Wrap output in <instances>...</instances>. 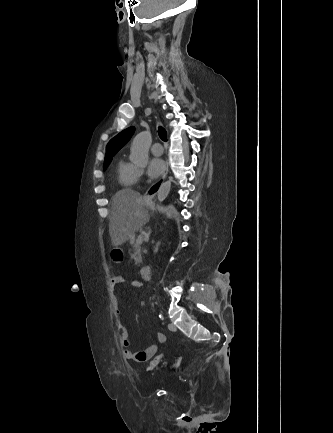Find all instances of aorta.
<instances>
[{
    "label": "aorta",
    "instance_id": "1",
    "mask_svg": "<svg viewBox=\"0 0 333 433\" xmlns=\"http://www.w3.org/2000/svg\"><path fill=\"white\" fill-rule=\"evenodd\" d=\"M149 134L147 132L139 133L131 144V161L137 166L144 167L149 161ZM171 189V181H167L161 185L157 193L159 202H163Z\"/></svg>",
    "mask_w": 333,
    "mask_h": 433
}]
</instances>
